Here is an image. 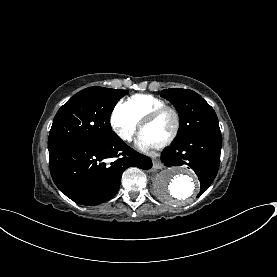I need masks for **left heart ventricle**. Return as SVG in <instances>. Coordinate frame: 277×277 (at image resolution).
Listing matches in <instances>:
<instances>
[{"label":"left heart ventricle","instance_id":"1","mask_svg":"<svg viewBox=\"0 0 277 277\" xmlns=\"http://www.w3.org/2000/svg\"><path fill=\"white\" fill-rule=\"evenodd\" d=\"M174 127V117L170 112L161 115L153 123L143 128V132L158 144L165 140Z\"/></svg>","mask_w":277,"mask_h":277}]
</instances>
